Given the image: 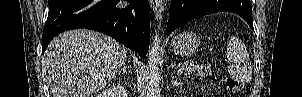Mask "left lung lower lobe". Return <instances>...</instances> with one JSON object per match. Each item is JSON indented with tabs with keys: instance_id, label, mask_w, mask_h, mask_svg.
I'll list each match as a JSON object with an SVG mask.
<instances>
[{
	"instance_id": "left-lung-lower-lobe-1",
	"label": "left lung lower lobe",
	"mask_w": 302,
	"mask_h": 97,
	"mask_svg": "<svg viewBox=\"0 0 302 97\" xmlns=\"http://www.w3.org/2000/svg\"><path fill=\"white\" fill-rule=\"evenodd\" d=\"M222 11L240 15L254 30L250 0H172L166 32L169 34L196 17Z\"/></svg>"
}]
</instances>
